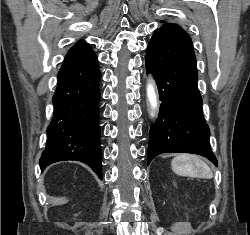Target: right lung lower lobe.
Returning <instances> with one entry per match:
<instances>
[{
    "mask_svg": "<svg viewBox=\"0 0 250 235\" xmlns=\"http://www.w3.org/2000/svg\"><path fill=\"white\" fill-rule=\"evenodd\" d=\"M57 77L52 98L55 110L40 158L41 170L58 161L77 160L89 165L102 179L101 74L92 48L84 41L78 42L68 51Z\"/></svg>",
    "mask_w": 250,
    "mask_h": 235,
    "instance_id": "obj_1",
    "label": "right lung lower lobe"
}]
</instances>
